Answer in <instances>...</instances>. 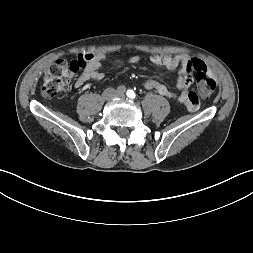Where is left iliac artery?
Wrapping results in <instances>:
<instances>
[{
  "label": "left iliac artery",
  "instance_id": "obj_1",
  "mask_svg": "<svg viewBox=\"0 0 253 253\" xmlns=\"http://www.w3.org/2000/svg\"><path fill=\"white\" fill-rule=\"evenodd\" d=\"M127 96H128L129 98L134 99V98L136 97V94H135V92H134L133 90H128V91H127Z\"/></svg>",
  "mask_w": 253,
  "mask_h": 253
}]
</instances>
